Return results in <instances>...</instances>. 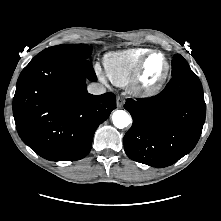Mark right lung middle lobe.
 <instances>
[{
    "instance_id": "obj_1",
    "label": "right lung middle lobe",
    "mask_w": 221,
    "mask_h": 221,
    "mask_svg": "<svg viewBox=\"0 0 221 221\" xmlns=\"http://www.w3.org/2000/svg\"><path fill=\"white\" fill-rule=\"evenodd\" d=\"M92 48L86 44L76 45H57L50 48H46L41 51L35 58L43 56L54 57H72L78 59H88L91 55Z\"/></svg>"
}]
</instances>
